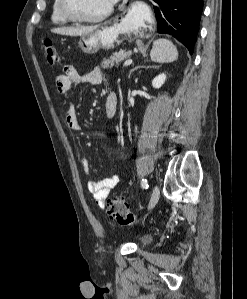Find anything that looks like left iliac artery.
Listing matches in <instances>:
<instances>
[{
	"label": "left iliac artery",
	"instance_id": "44dca946",
	"mask_svg": "<svg viewBox=\"0 0 247 299\" xmlns=\"http://www.w3.org/2000/svg\"><path fill=\"white\" fill-rule=\"evenodd\" d=\"M141 186H142V188H144V189H148L149 185H148V181H147V179H142V181H141Z\"/></svg>",
	"mask_w": 247,
	"mask_h": 299
}]
</instances>
